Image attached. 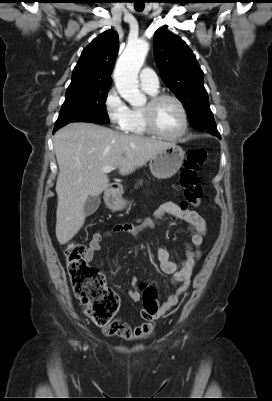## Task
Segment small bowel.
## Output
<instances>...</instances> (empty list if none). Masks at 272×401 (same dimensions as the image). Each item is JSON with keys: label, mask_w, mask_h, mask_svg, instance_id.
Listing matches in <instances>:
<instances>
[{"label": "small bowel", "mask_w": 272, "mask_h": 401, "mask_svg": "<svg viewBox=\"0 0 272 401\" xmlns=\"http://www.w3.org/2000/svg\"><path fill=\"white\" fill-rule=\"evenodd\" d=\"M170 215L188 224L190 234V246L185 252L184 258L180 262H174L170 259L168 250L164 247L157 249V259L161 270L166 274L173 275V280L178 284L177 290L170 295L160 305L154 314L142 312L143 322L137 326H129L121 320H115L111 324L112 336H118L126 340H135L145 338L153 331V322L164 317L180 300L187 291L190 284V277L196 261L201 256L200 246L206 235V223L203 217L194 210H191L186 203L165 202L155 212V219L160 220L164 216ZM153 226V221L148 219L140 225L130 224L115 225L111 231H96L93 233L85 254V259L91 262L94 255L101 248V242L104 237L111 233H127L137 239L139 233ZM132 288L129 290V297L132 301L138 302L141 299L140 286L136 278L131 280Z\"/></svg>", "instance_id": "small-bowel-1"}]
</instances>
